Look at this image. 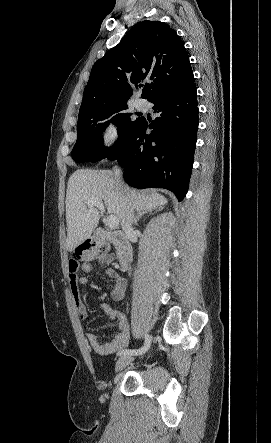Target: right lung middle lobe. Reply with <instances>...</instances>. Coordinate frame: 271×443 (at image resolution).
<instances>
[{
	"label": "right lung middle lobe",
	"instance_id": "obj_1",
	"mask_svg": "<svg viewBox=\"0 0 271 443\" xmlns=\"http://www.w3.org/2000/svg\"><path fill=\"white\" fill-rule=\"evenodd\" d=\"M127 109L126 105L100 117L78 119L77 141L71 153L73 160L95 162L106 157L114 159L125 136L141 120L132 119V114L128 113ZM110 122L118 127L119 139L114 146L107 148L101 140V135Z\"/></svg>",
	"mask_w": 271,
	"mask_h": 443
}]
</instances>
